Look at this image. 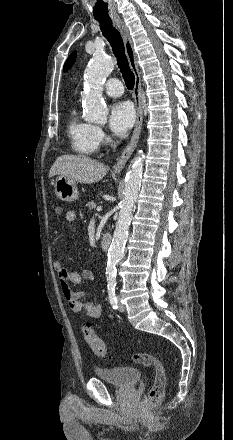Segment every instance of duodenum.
<instances>
[{"label":"duodenum","instance_id":"duodenum-1","mask_svg":"<svg viewBox=\"0 0 233 440\" xmlns=\"http://www.w3.org/2000/svg\"><path fill=\"white\" fill-rule=\"evenodd\" d=\"M111 242H112V236L109 233L103 234L100 239V246H101L102 250H104V251L108 250Z\"/></svg>","mask_w":233,"mask_h":440}]
</instances>
